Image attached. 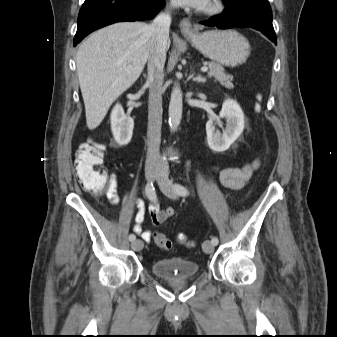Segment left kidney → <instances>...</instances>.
<instances>
[{"instance_id":"obj_1","label":"left kidney","mask_w":337,"mask_h":337,"mask_svg":"<svg viewBox=\"0 0 337 337\" xmlns=\"http://www.w3.org/2000/svg\"><path fill=\"white\" fill-rule=\"evenodd\" d=\"M221 118L226 119L223 133L216 130V125L222 126ZM244 129V114L239 104L227 99L222 105L219 117L206 123L207 142L215 152H224L236 141Z\"/></svg>"}]
</instances>
